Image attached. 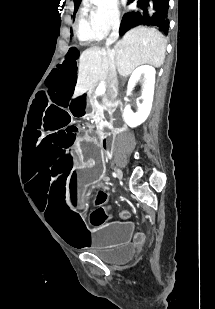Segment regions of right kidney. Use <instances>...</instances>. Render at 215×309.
Returning a JSON list of instances; mask_svg holds the SVG:
<instances>
[{
	"label": "right kidney",
	"mask_w": 215,
	"mask_h": 309,
	"mask_svg": "<svg viewBox=\"0 0 215 309\" xmlns=\"http://www.w3.org/2000/svg\"><path fill=\"white\" fill-rule=\"evenodd\" d=\"M141 74H144L146 78V80H144V88L140 96V98H143V102L142 104H139L138 102L137 112H133V110H131L130 104L125 106L123 112V118L126 124H129V126H138V124L144 122L147 116H149L150 110L152 108L156 74V70L153 68V66H149V64H142V66L135 68L128 80V88L131 90V88L135 86V82L136 80H139Z\"/></svg>",
	"instance_id": "ca27d5eb"
}]
</instances>
